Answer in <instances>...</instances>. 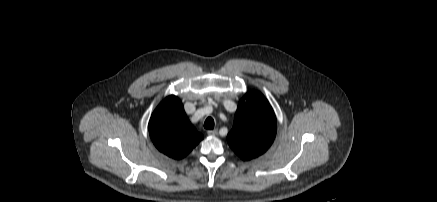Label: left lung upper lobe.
<instances>
[{
    "label": "left lung upper lobe",
    "instance_id": "5c2ea615",
    "mask_svg": "<svg viewBox=\"0 0 437 202\" xmlns=\"http://www.w3.org/2000/svg\"><path fill=\"white\" fill-rule=\"evenodd\" d=\"M276 130V117L271 105L260 92L252 90L238 104L227 141L232 150L247 161L268 150Z\"/></svg>",
    "mask_w": 437,
    "mask_h": 202
}]
</instances>
